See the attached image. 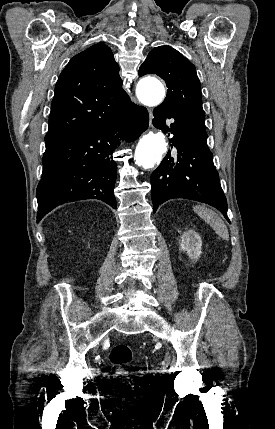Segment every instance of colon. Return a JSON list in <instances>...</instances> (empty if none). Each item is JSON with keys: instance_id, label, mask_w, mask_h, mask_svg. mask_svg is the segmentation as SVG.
I'll return each mask as SVG.
<instances>
[{"instance_id": "colon-1", "label": "colon", "mask_w": 275, "mask_h": 429, "mask_svg": "<svg viewBox=\"0 0 275 429\" xmlns=\"http://www.w3.org/2000/svg\"><path fill=\"white\" fill-rule=\"evenodd\" d=\"M132 360V351L129 346L121 344L115 346L109 355V361L111 365L114 367V375L119 378L123 379L126 378L127 374L123 367L127 364H129ZM130 388L136 389V384H130Z\"/></svg>"}]
</instances>
